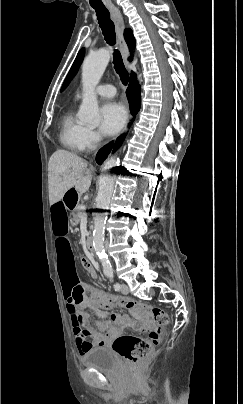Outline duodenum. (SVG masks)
<instances>
[{
  "mask_svg": "<svg viewBox=\"0 0 243 404\" xmlns=\"http://www.w3.org/2000/svg\"><path fill=\"white\" fill-rule=\"evenodd\" d=\"M79 192L77 191L76 188L74 187H69L65 189L63 192V200L69 210H76L79 204ZM87 247L90 250V252L94 253V244H93V238L89 237L87 239Z\"/></svg>",
  "mask_w": 243,
  "mask_h": 404,
  "instance_id": "410a0bca",
  "label": "duodenum"
}]
</instances>
